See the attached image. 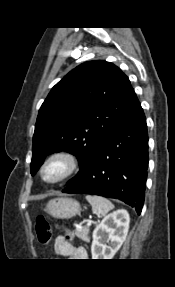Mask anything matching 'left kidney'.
Wrapping results in <instances>:
<instances>
[{
  "label": "left kidney",
  "mask_w": 175,
  "mask_h": 287,
  "mask_svg": "<svg viewBox=\"0 0 175 287\" xmlns=\"http://www.w3.org/2000/svg\"><path fill=\"white\" fill-rule=\"evenodd\" d=\"M129 222V214L124 209L105 216L93 232L92 258L112 259L126 239Z\"/></svg>",
  "instance_id": "obj_1"
}]
</instances>
